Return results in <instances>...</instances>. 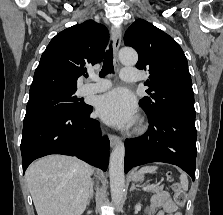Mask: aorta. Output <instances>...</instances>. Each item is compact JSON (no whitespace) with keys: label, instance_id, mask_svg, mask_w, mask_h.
Listing matches in <instances>:
<instances>
[{"label":"aorta","instance_id":"762f6f07","mask_svg":"<svg viewBox=\"0 0 223 215\" xmlns=\"http://www.w3.org/2000/svg\"><path fill=\"white\" fill-rule=\"evenodd\" d=\"M119 60L122 64L135 66L138 62V54L133 48H122L119 52ZM125 147L123 141H118L112 149L109 163L111 197L114 203H120L123 199Z\"/></svg>","mask_w":223,"mask_h":215}]
</instances>
